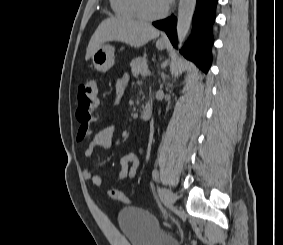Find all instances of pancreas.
Here are the masks:
<instances>
[{
	"instance_id": "pancreas-1",
	"label": "pancreas",
	"mask_w": 283,
	"mask_h": 245,
	"mask_svg": "<svg viewBox=\"0 0 283 245\" xmlns=\"http://www.w3.org/2000/svg\"><path fill=\"white\" fill-rule=\"evenodd\" d=\"M131 70L134 76H138L147 69V60L144 57H138L131 61Z\"/></svg>"
}]
</instances>
